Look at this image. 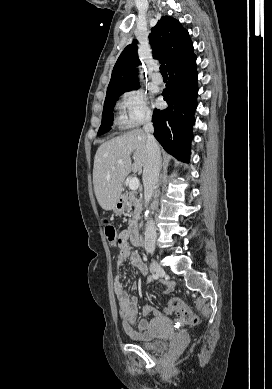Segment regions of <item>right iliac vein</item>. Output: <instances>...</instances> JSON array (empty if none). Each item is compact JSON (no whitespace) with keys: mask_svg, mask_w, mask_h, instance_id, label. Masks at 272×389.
<instances>
[{"mask_svg":"<svg viewBox=\"0 0 272 389\" xmlns=\"http://www.w3.org/2000/svg\"><path fill=\"white\" fill-rule=\"evenodd\" d=\"M150 270L160 277L165 275L164 268L155 260H152Z\"/></svg>","mask_w":272,"mask_h":389,"instance_id":"obj_1","label":"right iliac vein"}]
</instances>
